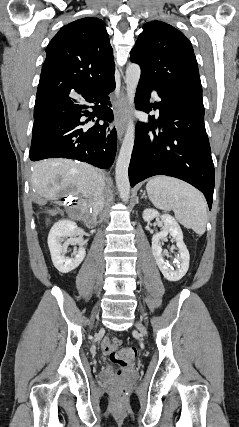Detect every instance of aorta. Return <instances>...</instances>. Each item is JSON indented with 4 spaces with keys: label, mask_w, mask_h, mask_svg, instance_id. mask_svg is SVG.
Masks as SVG:
<instances>
[{
    "label": "aorta",
    "mask_w": 239,
    "mask_h": 427,
    "mask_svg": "<svg viewBox=\"0 0 239 427\" xmlns=\"http://www.w3.org/2000/svg\"><path fill=\"white\" fill-rule=\"evenodd\" d=\"M141 69L137 64H129L126 69V90L127 98L130 105H134V97L136 88L140 79ZM134 122L129 119L127 129L122 142L120 153L116 163L115 178L116 185L119 190L120 198L123 202H128L130 197V183L128 177V168L131 159V154L134 146Z\"/></svg>",
    "instance_id": "obj_1"
}]
</instances>
